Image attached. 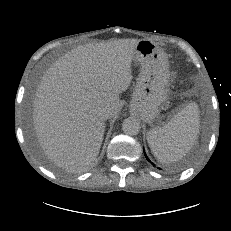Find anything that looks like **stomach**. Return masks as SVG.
Instances as JSON below:
<instances>
[{"label": "stomach", "instance_id": "0dacf381", "mask_svg": "<svg viewBox=\"0 0 231 231\" xmlns=\"http://www.w3.org/2000/svg\"><path fill=\"white\" fill-rule=\"evenodd\" d=\"M133 60L141 65L130 108L143 121L153 124L168 96L170 73L164 51L154 42L139 40Z\"/></svg>", "mask_w": 231, "mask_h": 231}]
</instances>
